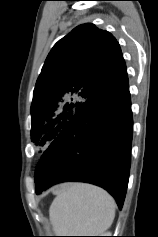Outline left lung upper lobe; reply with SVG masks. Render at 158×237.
<instances>
[{
    "label": "left lung upper lobe",
    "mask_w": 158,
    "mask_h": 237,
    "mask_svg": "<svg viewBox=\"0 0 158 237\" xmlns=\"http://www.w3.org/2000/svg\"><path fill=\"white\" fill-rule=\"evenodd\" d=\"M127 77L116 39L87 23L59 40L37 79L31 105V139L43 146L93 96ZM42 177L35 172V183Z\"/></svg>",
    "instance_id": "1"
}]
</instances>
